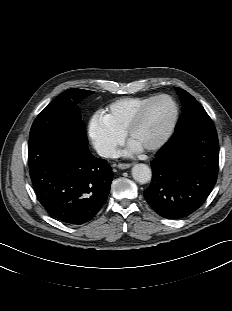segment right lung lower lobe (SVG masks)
<instances>
[{
	"label": "right lung lower lobe",
	"mask_w": 232,
	"mask_h": 311,
	"mask_svg": "<svg viewBox=\"0 0 232 311\" xmlns=\"http://www.w3.org/2000/svg\"><path fill=\"white\" fill-rule=\"evenodd\" d=\"M29 170L42 206L71 225L93 219L107 200L113 179L107 161L94 157L69 131L29 138Z\"/></svg>",
	"instance_id": "98d812e1"
}]
</instances>
